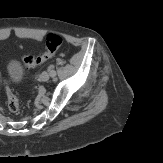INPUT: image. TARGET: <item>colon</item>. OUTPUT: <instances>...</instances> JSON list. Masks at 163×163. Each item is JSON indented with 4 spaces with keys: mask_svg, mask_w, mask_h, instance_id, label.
<instances>
[{
    "mask_svg": "<svg viewBox=\"0 0 163 163\" xmlns=\"http://www.w3.org/2000/svg\"><path fill=\"white\" fill-rule=\"evenodd\" d=\"M63 40L59 35L50 34L45 39V51L39 55H26L23 58V64L26 68H35L53 57L55 52L62 46ZM8 109L16 113L19 110L18 94L13 87H6Z\"/></svg>",
    "mask_w": 163,
    "mask_h": 163,
    "instance_id": "1",
    "label": "colon"
}]
</instances>
